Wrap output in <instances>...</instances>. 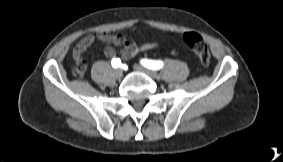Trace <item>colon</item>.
<instances>
[{"label": "colon", "instance_id": "5ec220e1", "mask_svg": "<svg viewBox=\"0 0 283 162\" xmlns=\"http://www.w3.org/2000/svg\"><path fill=\"white\" fill-rule=\"evenodd\" d=\"M182 40L193 50L203 66H207L210 63L209 48L202 36L195 32H186L183 34ZM73 73L76 77H81L84 73L82 64L77 63Z\"/></svg>", "mask_w": 283, "mask_h": 162}]
</instances>
